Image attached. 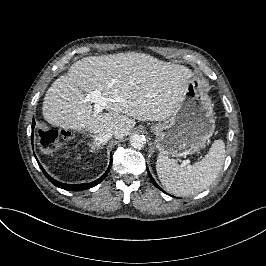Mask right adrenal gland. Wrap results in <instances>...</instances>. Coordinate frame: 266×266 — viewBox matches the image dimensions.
<instances>
[{
	"mask_svg": "<svg viewBox=\"0 0 266 266\" xmlns=\"http://www.w3.org/2000/svg\"><path fill=\"white\" fill-rule=\"evenodd\" d=\"M88 145L90 146V148H91V152H92V153L97 152V150L103 148V146H99L98 144L93 143V142H91V143L88 142Z\"/></svg>",
	"mask_w": 266,
	"mask_h": 266,
	"instance_id": "1",
	"label": "right adrenal gland"
}]
</instances>
